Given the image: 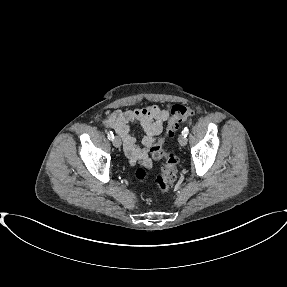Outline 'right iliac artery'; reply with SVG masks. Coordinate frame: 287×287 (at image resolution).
Instances as JSON below:
<instances>
[{"label":"right iliac artery","instance_id":"right-iliac-artery-1","mask_svg":"<svg viewBox=\"0 0 287 287\" xmlns=\"http://www.w3.org/2000/svg\"><path fill=\"white\" fill-rule=\"evenodd\" d=\"M108 139H110V140H113L114 139V134H113V132H108Z\"/></svg>","mask_w":287,"mask_h":287}]
</instances>
